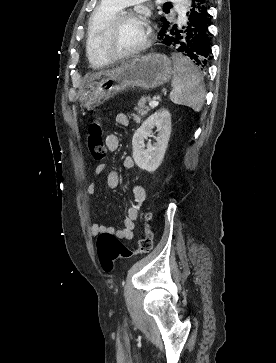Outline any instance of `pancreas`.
Segmentation results:
<instances>
[{
  "mask_svg": "<svg viewBox=\"0 0 276 363\" xmlns=\"http://www.w3.org/2000/svg\"><path fill=\"white\" fill-rule=\"evenodd\" d=\"M146 100H150V98L148 97H143L141 98L137 105L135 106L134 110L135 113L131 114V116L133 117V120L136 122H140L141 118L143 116H145L150 110L151 108L145 105Z\"/></svg>",
  "mask_w": 276,
  "mask_h": 363,
  "instance_id": "1",
  "label": "pancreas"
}]
</instances>
